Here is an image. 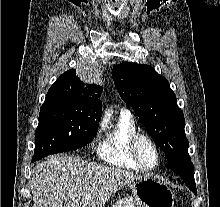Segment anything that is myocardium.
Here are the masks:
<instances>
[{
  "mask_svg": "<svg viewBox=\"0 0 220 207\" xmlns=\"http://www.w3.org/2000/svg\"><path fill=\"white\" fill-rule=\"evenodd\" d=\"M141 140H146L147 142H149V144L153 147V149L156 153V161L153 165L145 164L139 154L138 146H139V142ZM129 148H130L131 156L134 159V161L137 164H139L144 170H152L159 165L160 160H161L160 148H159L157 142L154 140V138L152 136H150L148 133L140 132V131H137L136 133H134L130 138Z\"/></svg>",
  "mask_w": 220,
  "mask_h": 207,
  "instance_id": "f54148a6",
  "label": "myocardium"
}]
</instances>
